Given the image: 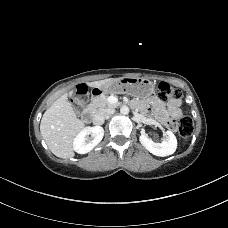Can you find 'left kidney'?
I'll use <instances>...</instances> for the list:
<instances>
[{"instance_id":"left-kidney-1","label":"left kidney","mask_w":228,"mask_h":228,"mask_svg":"<svg viewBox=\"0 0 228 228\" xmlns=\"http://www.w3.org/2000/svg\"><path fill=\"white\" fill-rule=\"evenodd\" d=\"M167 141L156 143L147 134H141L140 143L153 155L165 157L173 154L177 148V139L172 131H166Z\"/></svg>"}]
</instances>
